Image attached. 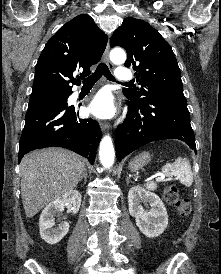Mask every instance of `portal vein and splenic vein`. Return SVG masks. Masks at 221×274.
Masks as SVG:
<instances>
[{"mask_svg": "<svg viewBox=\"0 0 221 274\" xmlns=\"http://www.w3.org/2000/svg\"><path fill=\"white\" fill-rule=\"evenodd\" d=\"M165 177L163 175H159L158 177H156V181L157 182H161V181H164ZM171 180V178H170Z\"/></svg>", "mask_w": 221, "mask_h": 274, "instance_id": "1", "label": "portal vein and splenic vein"}]
</instances>
